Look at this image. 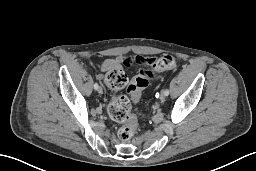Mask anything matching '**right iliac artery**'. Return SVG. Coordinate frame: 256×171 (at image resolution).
Returning a JSON list of instances; mask_svg holds the SVG:
<instances>
[{
  "label": "right iliac artery",
  "mask_w": 256,
  "mask_h": 171,
  "mask_svg": "<svg viewBox=\"0 0 256 171\" xmlns=\"http://www.w3.org/2000/svg\"><path fill=\"white\" fill-rule=\"evenodd\" d=\"M94 88L97 90L99 88V85L97 83H95Z\"/></svg>",
  "instance_id": "right-iliac-artery-1"
}]
</instances>
